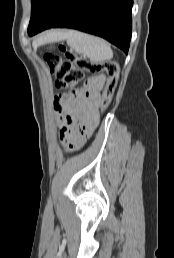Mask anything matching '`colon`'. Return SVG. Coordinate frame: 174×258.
Returning <instances> with one entry per match:
<instances>
[{
    "label": "colon",
    "mask_w": 174,
    "mask_h": 258,
    "mask_svg": "<svg viewBox=\"0 0 174 258\" xmlns=\"http://www.w3.org/2000/svg\"><path fill=\"white\" fill-rule=\"evenodd\" d=\"M44 60L51 73L56 78V85L68 90L74 96L76 86L83 80L86 73L105 72L108 76L106 87L102 93L101 108L107 109L113 99L119 78V63L115 60H106L96 63L76 55L64 45L58 51H47Z\"/></svg>",
    "instance_id": "obj_1"
}]
</instances>
